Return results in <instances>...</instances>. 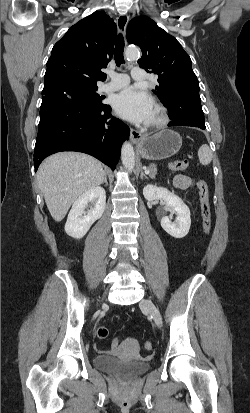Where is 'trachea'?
Listing matches in <instances>:
<instances>
[{
    "instance_id": "3493384b",
    "label": "trachea",
    "mask_w": 250,
    "mask_h": 413,
    "mask_svg": "<svg viewBox=\"0 0 250 413\" xmlns=\"http://www.w3.org/2000/svg\"><path fill=\"white\" fill-rule=\"evenodd\" d=\"M124 38L122 34H119L117 37L115 49H114V58L117 66H120L124 63Z\"/></svg>"
}]
</instances>
